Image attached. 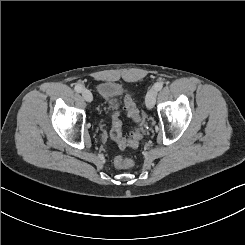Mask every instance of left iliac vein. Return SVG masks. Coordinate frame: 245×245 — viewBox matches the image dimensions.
Returning <instances> with one entry per match:
<instances>
[{
  "label": "left iliac vein",
  "mask_w": 245,
  "mask_h": 245,
  "mask_svg": "<svg viewBox=\"0 0 245 245\" xmlns=\"http://www.w3.org/2000/svg\"><path fill=\"white\" fill-rule=\"evenodd\" d=\"M157 97V90L155 88H151L146 95V107L148 109H152L155 106Z\"/></svg>",
  "instance_id": "left-iliac-vein-1"
}]
</instances>
